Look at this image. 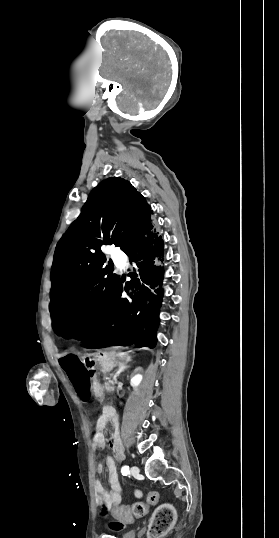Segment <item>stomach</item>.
<instances>
[{"instance_id": "obj_1", "label": "stomach", "mask_w": 279, "mask_h": 538, "mask_svg": "<svg viewBox=\"0 0 279 538\" xmlns=\"http://www.w3.org/2000/svg\"><path fill=\"white\" fill-rule=\"evenodd\" d=\"M128 356H126L125 352H103V353H97L96 355V362L97 364H100L101 366V372H112L113 368L117 366V364H121V362H124ZM105 385L100 381L97 380L95 382V389L93 390V393L97 395L98 399L103 400L106 397L105 392Z\"/></svg>"}]
</instances>
